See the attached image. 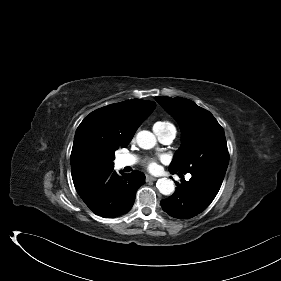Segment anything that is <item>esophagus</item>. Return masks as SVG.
Listing matches in <instances>:
<instances>
[{
    "mask_svg": "<svg viewBox=\"0 0 281 281\" xmlns=\"http://www.w3.org/2000/svg\"><path fill=\"white\" fill-rule=\"evenodd\" d=\"M156 180H157L156 177H152V176H149V175L146 176V181L147 182H149V181H156Z\"/></svg>",
    "mask_w": 281,
    "mask_h": 281,
    "instance_id": "esophagus-1",
    "label": "esophagus"
}]
</instances>
